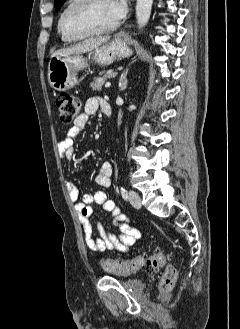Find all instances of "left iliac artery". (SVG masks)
I'll return each instance as SVG.
<instances>
[{"label":"left iliac artery","mask_w":240,"mask_h":329,"mask_svg":"<svg viewBox=\"0 0 240 329\" xmlns=\"http://www.w3.org/2000/svg\"><path fill=\"white\" fill-rule=\"evenodd\" d=\"M121 195H122V197H123L124 199L127 200V198H128V193H127L126 189L123 188V187H121Z\"/></svg>","instance_id":"1"}]
</instances>
